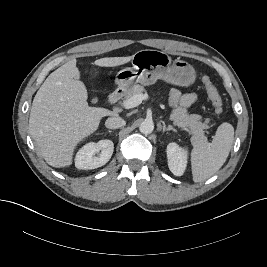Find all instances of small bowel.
Segmentation results:
<instances>
[{
	"label": "small bowel",
	"instance_id": "1",
	"mask_svg": "<svg viewBox=\"0 0 267 267\" xmlns=\"http://www.w3.org/2000/svg\"><path fill=\"white\" fill-rule=\"evenodd\" d=\"M170 100L174 106L187 108L197 100V95L195 93L182 94L178 89H172Z\"/></svg>",
	"mask_w": 267,
	"mask_h": 267
}]
</instances>
